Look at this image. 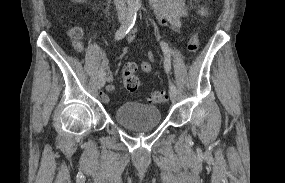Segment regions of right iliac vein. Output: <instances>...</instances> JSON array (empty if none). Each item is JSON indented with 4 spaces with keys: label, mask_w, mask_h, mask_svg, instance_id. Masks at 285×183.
I'll return each instance as SVG.
<instances>
[{
    "label": "right iliac vein",
    "mask_w": 285,
    "mask_h": 183,
    "mask_svg": "<svg viewBox=\"0 0 285 183\" xmlns=\"http://www.w3.org/2000/svg\"><path fill=\"white\" fill-rule=\"evenodd\" d=\"M105 84V79L104 77H99L98 81H97V86L99 89H101Z\"/></svg>",
    "instance_id": "right-iliac-vein-1"
}]
</instances>
